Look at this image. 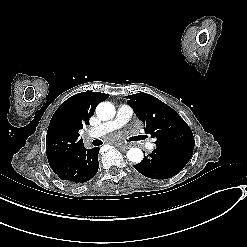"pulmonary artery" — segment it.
I'll list each match as a JSON object with an SVG mask.
<instances>
[{
    "mask_svg": "<svg viewBox=\"0 0 247 247\" xmlns=\"http://www.w3.org/2000/svg\"><path fill=\"white\" fill-rule=\"evenodd\" d=\"M133 108L127 104H121L117 108L115 119L112 121L104 122L96 126L91 125L88 127L86 138L89 140L92 136L98 134H107L109 132H114L120 128L121 125L127 123L133 116ZM155 140V139H154ZM152 139H149L145 143V149L148 152H152L156 148V143Z\"/></svg>",
    "mask_w": 247,
    "mask_h": 247,
    "instance_id": "pulmonary-artery-1",
    "label": "pulmonary artery"
}]
</instances>
